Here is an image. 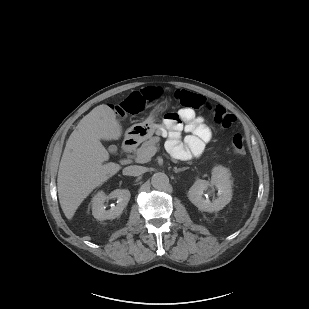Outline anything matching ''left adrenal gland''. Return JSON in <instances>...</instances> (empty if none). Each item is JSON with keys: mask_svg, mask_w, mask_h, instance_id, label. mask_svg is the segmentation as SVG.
<instances>
[{"mask_svg": "<svg viewBox=\"0 0 309 309\" xmlns=\"http://www.w3.org/2000/svg\"><path fill=\"white\" fill-rule=\"evenodd\" d=\"M187 169H188V167H183V168L174 167V172L178 173V172H181V171H184V170H187Z\"/></svg>", "mask_w": 309, "mask_h": 309, "instance_id": "obj_1", "label": "left adrenal gland"}]
</instances>
